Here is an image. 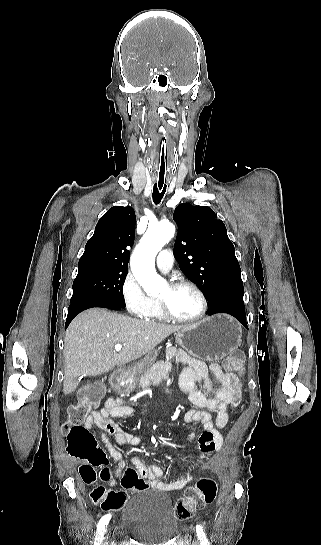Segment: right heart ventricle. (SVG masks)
Wrapping results in <instances>:
<instances>
[{
  "label": "right heart ventricle",
  "mask_w": 321,
  "mask_h": 545,
  "mask_svg": "<svg viewBox=\"0 0 321 545\" xmlns=\"http://www.w3.org/2000/svg\"><path fill=\"white\" fill-rule=\"evenodd\" d=\"M147 320L148 321H165L166 318L161 313L159 307L156 305V307L154 308L151 316Z\"/></svg>",
  "instance_id": "1"
}]
</instances>
